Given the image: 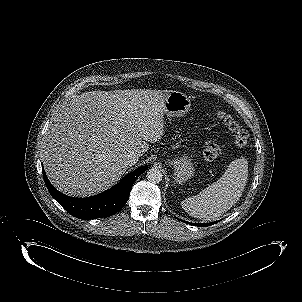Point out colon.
<instances>
[{
  "instance_id": "5ec220e1",
  "label": "colon",
  "mask_w": 302,
  "mask_h": 302,
  "mask_svg": "<svg viewBox=\"0 0 302 302\" xmlns=\"http://www.w3.org/2000/svg\"><path fill=\"white\" fill-rule=\"evenodd\" d=\"M217 117L228 127L232 132L233 142L237 147H244L248 142L247 131L237 122L230 114L225 112L221 107L215 108ZM221 151L220 145L216 141H210L206 144L203 150V158L206 161L215 160Z\"/></svg>"
}]
</instances>
